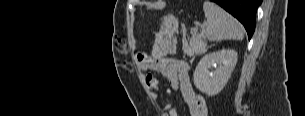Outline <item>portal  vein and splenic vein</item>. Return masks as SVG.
Segmentation results:
<instances>
[{
  "label": "portal vein and splenic vein",
  "instance_id": "18ae733b",
  "mask_svg": "<svg viewBox=\"0 0 305 116\" xmlns=\"http://www.w3.org/2000/svg\"><path fill=\"white\" fill-rule=\"evenodd\" d=\"M207 27V23H203L202 25H201V28L202 29H204V28H206ZM197 31V29H194V32H196Z\"/></svg>",
  "mask_w": 305,
  "mask_h": 116
}]
</instances>
